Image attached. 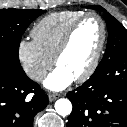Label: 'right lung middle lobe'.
I'll return each instance as SVG.
<instances>
[{
	"label": "right lung middle lobe",
	"instance_id": "dd1d6c3e",
	"mask_svg": "<svg viewBox=\"0 0 127 127\" xmlns=\"http://www.w3.org/2000/svg\"><path fill=\"white\" fill-rule=\"evenodd\" d=\"M45 10H21L1 9L0 10V58L20 67L19 45L22 34L30 23Z\"/></svg>",
	"mask_w": 127,
	"mask_h": 127
}]
</instances>
